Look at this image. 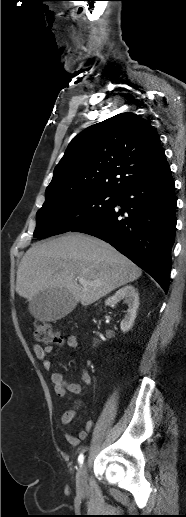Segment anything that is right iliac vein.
Wrapping results in <instances>:
<instances>
[{
  "instance_id": "right-iliac-vein-1",
  "label": "right iliac vein",
  "mask_w": 186,
  "mask_h": 517,
  "mask_svg": "<svg viewBox=\"0 0 186 517\" xmlns=\"http://www.w3.org/2000/svg\"><path fill=\"white\" fill-rule=\"evenodd\" d=\"M77 490L79 492H84L87 486L86 481V465L83 464L81 468L79 469L77 473V480H76Z\"/></svg>"
}]
</instances>
